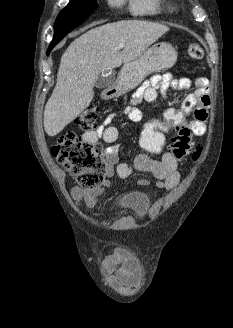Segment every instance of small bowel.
Returning a JSON list of instances; mask_svg holds the SVG:
<instances>
[{"label":"small bowel","mask_w":233,"mask_h":328,"mask_svg":"<svg viewBox=\"0 0 233 328\" xmlns=\"http://www.w3.org/2000/svg\"><path fill=\"white\" fill-rule=\"evenodd\" d=\"M192 85L195 90L183 101L181 110L189 119V126L193 135L202 136L206 132L208 121V108L210 106V96L208 79L198 77L191 80L187 77L174 78L172 74L156 75L143 83L133 94L130 105L126 106L122 113L131 121L141 120V111L138 106L143 102H154L158 98L159 92L166 94L169 89L186 90ZM113 114L108 115L102 124L95 129L87 131L83 139L91 144H97L102 138L106 143L113 144L118 139V129L111 125ZM106 176L112 177L117 174L121 178L131 175L133 169L152 174L157 188L172 190L180 179L178 172V161L169 151H165L160 160L153 159L148 154H140L133 166L118 162V146L113 145L106 149ZM138 184L147 186L149 181L140 179ZM109 182H103L102 187L96 189H84L74 187L71 190V197L77 205L85 202L88 208H94L103 197L105 188ZM104 268L107 272V282L111 288L121 294H130L137 291L140 279V267L138 260L129 250L119 249L112 255L104 259Z\"/></svg>","instance_id":"c3829d8e"}]
</instances>
